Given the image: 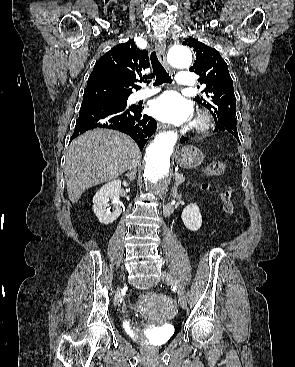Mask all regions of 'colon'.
<instances>
[{
  "label": "colon",
  "mask_w": 295,
  "mask_h": 367,
  "mask_svg": "<svg viewBox=\"0 0 295 367\" xmlns=\"http://www.w3.org/2000/svg\"><path fill=\"white\" fill-rule=\"evenodd\" d=\"M225 168H226V166H225L224 162L214 161V162L209 163L205 167L204 173H205L206 176H209V177L219 176V175L224 173ZM201 187L204 190H208L211 187V185H210L209 182H203L201 184ZM220 199H221V202L223 204V208H224L225 212L228 213V214H232L233 211H234V205H233V202L231 200L230 190L225 189V190L221 191L220 192ZM150 296H151L150 292H144L142 294L143 298H148Z\"/></svg>",
  "instance_id": "colon-1"
}]
</instances>
